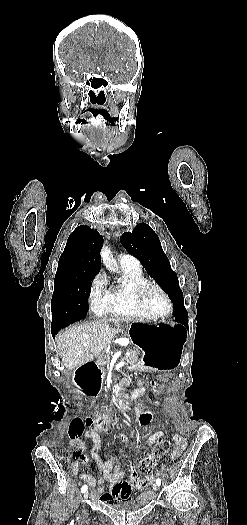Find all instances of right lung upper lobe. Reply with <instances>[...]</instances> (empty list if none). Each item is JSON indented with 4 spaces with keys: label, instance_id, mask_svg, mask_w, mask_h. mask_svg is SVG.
<instances>
[{
    "label": "right lung upper lobe",
    "instance_id": "right-lung-upper-lobe-1",
    "mask_svg": "<svg viewBox=\"0 0 247 525\" xmlns=\"http://www.w3.org/2000/svg\"><path fill=\"white\" fill-rule=\"evenodd\" d=\"M103 237L86 225L77 227L68 237L58 262L57 272L84 271L97 274Z\"/></svg>",
    "mask_w": 247,
    "mask_h": 525
}]
</instances>
